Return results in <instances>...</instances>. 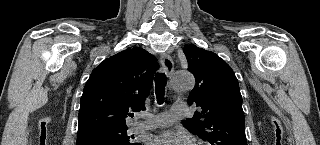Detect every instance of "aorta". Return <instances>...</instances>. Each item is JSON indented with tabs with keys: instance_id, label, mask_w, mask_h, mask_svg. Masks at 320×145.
<instances>
[{
	"instance_id": "aorta-1",
	"label": "aorta",
	"mask_w": 320,
	"mask_h": 145,
	"mask_svg": "<svg viewBox=\"0 0 320 145\" xmlns=\"http://www.w3.org/2000/svg\"><path fill=\"white\" fill-rule=\"evenodd\" d=\"M172 88L175 90H189L194 87L195 79L187 71H176L172 75Z\"/></svg>"
}]
</instances>
